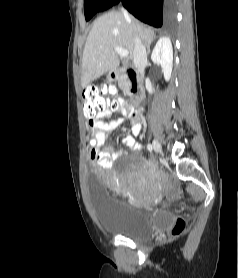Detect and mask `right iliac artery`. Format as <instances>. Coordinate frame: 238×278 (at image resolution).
<instances>
[{"mask_svg": "<svg viewBox=\"0 0 238 278\" xmlns=\"http://www.w3.org/2000/svg\"><path fill=\"white\" fill-rule=\"evenodd\" d=\"M147 149L151 152L152 149H153L152 145H151V144H148V145H147Z\"/></svg>", "mask_w": 238, "mask_h": 278, "instance_id": "82829eb1", "label": "right iliac artery"}]
</instances>
